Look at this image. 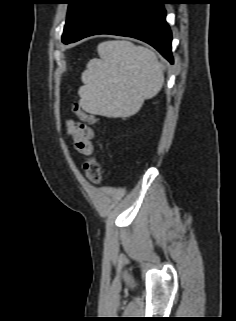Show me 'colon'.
Here are the masks:
<instances>
[{
	"label": "colon",
	"mask_w": 236,
	"mask_h": 321,
	"mask_svg": "<svg viewBox=\"0 0 236 321\" xmlns=\"http://www.w3.org/2000/svg\"><path fill=\"white\" fill-rule=\"evenodd\" d=\"M74 113L83 121L95 123L97 118L95 115L81 109L78 103L73 104ZM86 178L93 184H99L102 179L101 166L96 156L90 157L84 164Z\"/></svg>",
	"instance_id": "obj_1"
}]
</instances>
